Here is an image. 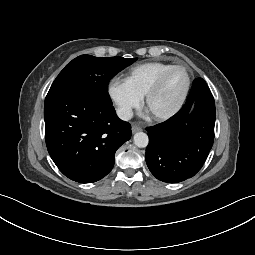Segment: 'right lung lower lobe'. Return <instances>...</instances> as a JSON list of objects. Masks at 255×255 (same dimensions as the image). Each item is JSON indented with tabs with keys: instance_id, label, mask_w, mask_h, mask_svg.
<instances>
[{
	"instance_id": "right-lung-lower-lobe-1",
	"label": "right lung lower lobe",
	"mask_w": 255,
	"mask_h": 255,
	"mask_svg": "<svg viewBox=\"0 0 255 255\" xmlns=\"http://www.w3.org/2000/svg\"><path fill=\"white\" fill-rule=\"evenodd\" d=\"M48 152L69 179L92 183L114 166L116 150L131 137V126L113 106L75 91L47 94L44 104Z\"/></svg>"
}]
</instances>
